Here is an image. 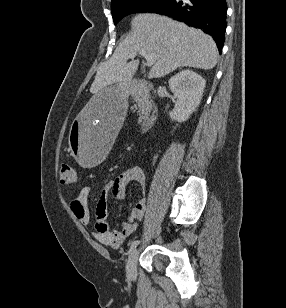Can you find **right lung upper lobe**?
Instances as JSON below:
<instances>
[{"instance_id":"cb5924a9","label":"right lung upper lobe","mask_w":286,"mask_h":308,"mask_svg":"<svg viewBox=\"0 0 286 308\" xmlns=\"http://www.w3.org/2000/svg\"><path fill=\"white\" fill-rule=\"evenodd\" d=\"M117 1H119V0H112V4L111 5L115 4Z\"/></svg>"}]
</instances>
